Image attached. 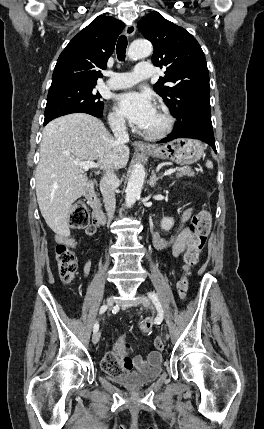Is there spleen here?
I'll return each instance as SVG.
<instances>
[{
	"label": "spleen",
	"instance_id": "obj_1",
	"mask_svg": "<svg viewBox=\"0 0 264 429\" xmlns=\"http://www.w3.org/2000/svg\"><path fill=\"white\" fill-rule=\"evenodd\" d=\"M206 166H207V168H210V169H212V168H213V164H212V162H211V161H207V162H206Z\"/></svg>",
	"mask_w": 264,
	"mask_h": 429
}]
</instances>
